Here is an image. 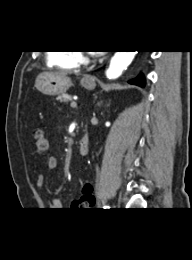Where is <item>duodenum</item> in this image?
I'll use <instances>...</instances> for the list:
<instances>
[{
    "instance_id": "1",
    "label": "duodenum",
    "mask_w": 192,
    "mask_h": 260,
    "mask_svg": "<svg viewBox=\"0 0 192 260\" xmlns=\"http://www.w3.org/2000/svg\"><path fill=\"white\" fill-rule=\"evenodd\" d=\"M90 140L88 135H84L79 141L78 153L82 156L87 155L89 152Z\"/></svg>"
}]
</instances>
